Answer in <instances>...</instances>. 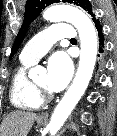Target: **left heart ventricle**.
Returning <instances> with one entry per match:
<instances>
[{
	"mask_svg": "<svg viewBox=\"0 0 117 136\" xmlns=\"http://www.w3.org/2000/svg\"><path fill=\"white\" fill-rule=\"evenodd\" d=\"M36 83L42 87H45L47 86V75L46 74H43L39 77V79L36 81Z\"/></svg>",
	"mask_w": 117,
	"mask_h": 136,
	"instance_id": "obj_1",
	"label": "left heart ventricle"
}]
</instances>
